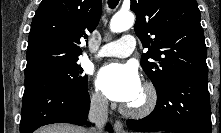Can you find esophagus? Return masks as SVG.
<instances>
[{"label":"esophagus","instance_id":"esophagus-1","mask_svg":"<svg viewBox=\"0 0 221 133\" xmlns=\"http://www.w3.org/2000/svg\"><path fill=\"white\" fill-rule=\"evenodd\" d=\"M114 130H115L116 133H126L124 128H123V124L119 120L115 121Z\"/></svg>","mask_w":221,"mask_h":133}]
</instances>
